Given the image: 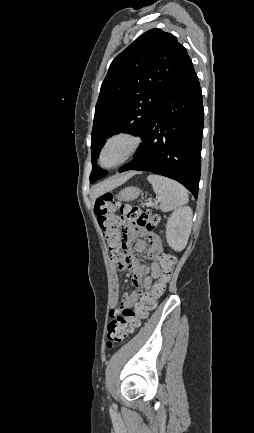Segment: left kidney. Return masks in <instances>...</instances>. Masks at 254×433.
I'll return each instance as SVG.
<instances>
[{
  "mask_svg": "<svg viewBox=\"0 0 254 433\" xmlns=\"http://www.w3.org/2000/svg\"><path fill=\"white\" fill-rule=\"evenodd\" d=\"M192 210L189 206L178 208L170 217L166 225V239L171 248L182 251L188 242L192 227Z\"/></svg>",
  "mask_w": 254,
  "mask_h": 433,
  "instance_id": "5707ae66",
  "label": "left kidney"
}]
</instances>
